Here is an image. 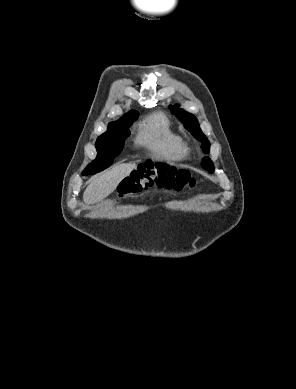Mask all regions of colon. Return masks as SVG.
I'll list each match as a JSON object with an SVG mask.
<instances>
[{
    "instance_id": "1",
    "label": "colon",
    "mask_w": 296,
    "mask_h": 389,
    "mask_svg": "<svg viewBox=\"0 0 296 389\" xmlns=\"http://www.w3.org/2000/svg\"><path fill=\"white\" fill-rule=\"evenodd\" d=\"M195 184V179L186 170L171 167L163 163L147 161L139 164L121 182L119 197L132 198L153 186L179 191L187 187H194Z\"/></svg>"
}]
</instances>
